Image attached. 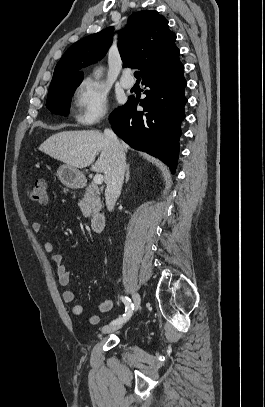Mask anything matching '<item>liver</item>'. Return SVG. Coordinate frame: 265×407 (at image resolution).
<instances>
[{
    "label": "liver",
    "mask_w": 265,
    "mask_h": 407,
    "mask_svg": "<svg viewBox=\"0 0 265 407\" xmlns=\"http://www.w3.org/2000/svg\"><path fill=\"white\" fill-rule=\"evenodd\" d=\"M122 147L127 152L128 146L122 144ZM39 150L77 169L92 165L93 171L104 174L105 182L111 173L112 151L105 135L97 130L57 133L46 139Z\"/></svg>",
    "instance_id": "6515ba94"
}]
</instances>
